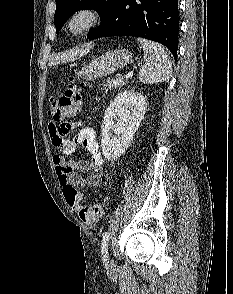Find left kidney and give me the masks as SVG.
<instances>
[{"mask_svg":"<svg viewBox=\"0 0 233 294\" xmlns=\"http://www.w3.org/2000/svg\"><path fill=\"white\" fill-rule=\"evenodd\" d=\"M146 108V98L133 90L118 93L110 103L103 117L101 133L102 153L107 160H116L125 152L140 126ZM113 118L117 120L115 124Z\"/></svg>","mask_w":233,"mask_h":294,"instance_id":"5707ae66","label":"left kidney"}]
</instances>
